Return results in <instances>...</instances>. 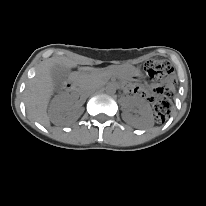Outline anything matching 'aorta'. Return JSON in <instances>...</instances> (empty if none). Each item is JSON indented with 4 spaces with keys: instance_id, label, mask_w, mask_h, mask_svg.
Here are the masks:
<instances>
[{
    "instance_id": "aorta-1",
    "label": "aorta",
    "mask_w": 206,
    "mask_h": 206,
    "mask_svg": "<svg viewBox=\"0 0 206 206\" xmlns=\"http://www.w3.org/2000/svg\"><path fill=\"white\" fill-rule=\"evenodd\" d=\"M106 92L108 94H115L116 93V87L113 84H109L106 86Z\"/></svg>"
}]
</instances>
